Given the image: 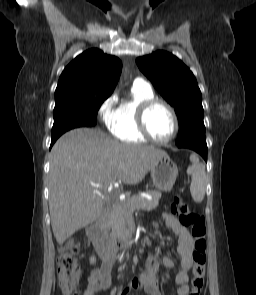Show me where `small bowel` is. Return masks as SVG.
I'll return each instance as SVG.
<instances>
[{
  "label": "small bowel",
  "mask_w": 256,
  "mask_h": 295,
  "mask_svg": "<svg viewBox=\"0 0 256 295\" xmlns=\"http://www.w3.org/2000/svg\"><path fill=\"white\" fill-rule=\"evenodd\" d=\"M166 225L177 235V253L180 257V270L176 276L177 295H188V273L192 266V250L194 240L189 231L171 214H163ZM115 258L110 262H103L94 268L88 276L87 286L83 295H95L101 290H108L112 284L111 271ZM166 268H173L175 263L171 257L163 259ZM160 268L157 259L149 255L146 258L144 271L139 278L132 279L116 295H128L131 290L143 289L149 295H162L160 288Z\"/></svg>",
  "instance_id": "c3829d8e"
}]
</instances>
